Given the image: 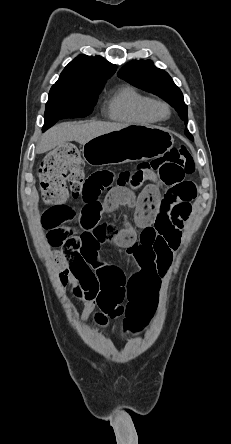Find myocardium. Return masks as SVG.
I'll list each match as a JSON object with an SVG mask.
<instances>
[{"label": "myocardium", "mask_w": 231, "mask_h": 444, "mask_svg": "<svg viewBox=\"0 0 231 444\" xmlns=\"http://www.w3.org/2000/svg\"><path fill=\"white\" fill-rule=\"evenodd\" d=\"M151 113L159 120H165L171 115V106L161 99H153L150 104Z\"/></svg>", "instance_id": "myocardium-1"}]
</instances>
